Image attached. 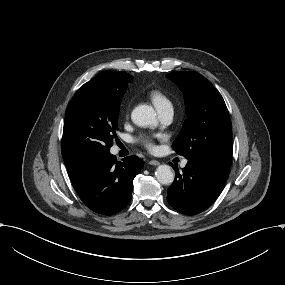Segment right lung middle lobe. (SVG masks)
<instances>
[{
    "instance_id": "1",
    "label": "right lung middle lobe",
    "mask_w": 285,
    "mask_h": 285,
    "mask_svg": "<svg viewBox=\"0 0 285 285\" xmlns=\"http://www.w3.org/2000/svg\"><path fill=\"white\" fill-rule=\"evenodd\" d=\"M127 87L86 94L78 90L70 103L63 128L64 160H88L107 156L114 140L121 99Z\"/></svg>"
}]
</instances>
